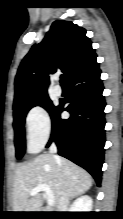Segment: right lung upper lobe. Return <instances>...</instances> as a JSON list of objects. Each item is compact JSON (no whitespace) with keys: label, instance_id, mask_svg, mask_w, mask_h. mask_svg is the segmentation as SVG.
Masks as SVG:
<instances>
[{"label":"right lung upper lobe","instance_id":"cb5924a9","mask_svg":"<svg viewBox=\"0 0 123 219\" xmlns=\"http://www.w3.org/2000/svg\"><path fill=\"white\" fill-rule=\"evenodd\" d=\"M86 30L70 21L53 22L43 41L33 45L15 78L13 107L47 94L49 74L61 70L68 80L96 54Z\"/></svg>","mask_w":123,"mask_h":219}]
</instances>
